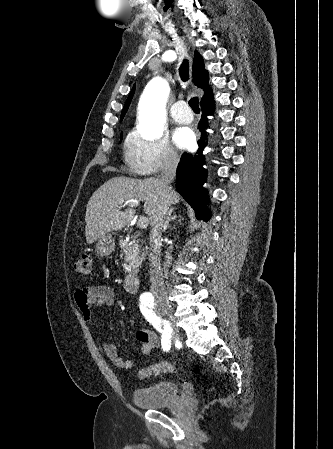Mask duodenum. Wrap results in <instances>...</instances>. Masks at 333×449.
Masks as SVG:
<instances>
[{
    "label": "duodenum",
    "mask_w": 333,
    "mask_h": 449,
    "mask_svg": "<svg viewBox=\"0 0 333 449\" xmlns=\"http://www.w3.org/2000/svg\"><path fill=\"white\" fill-rule=\"evenodd\" d=\"M140 286L139 274L136 270L130 271L124 278L123 287L129 293H135Z\"/></svg>",
    "instance_id": "obj_1"
}]
</instances>
